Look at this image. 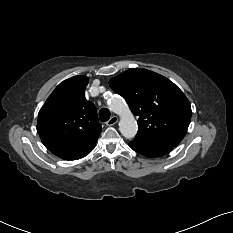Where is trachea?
Instances as JSON below:
<instances>
[{
	"label": "trachea",
	"instance_id": "trachea-1",
	"mask_svg": "<svg viewBox=\"0 0 233 233\" xmlns=\"http://www.w3.org/2000/svg\"><path fill=\"white\" fill-rule=\"evenodd\" d=\"M99 119L102 122H106L110 119V111L107 108H102L99 111Z\"/></svg>",
	"mask_w": 233,
	"mask_h": 233
}]
</instances>
